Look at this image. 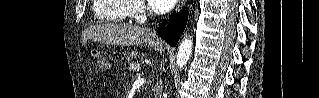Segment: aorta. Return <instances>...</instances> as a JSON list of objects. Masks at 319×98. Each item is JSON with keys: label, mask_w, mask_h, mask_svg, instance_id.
Wrapping results in <instances>:
<instances>
[{"label": "aorta", "mask_w": 319, "mask_h": 98, "mask_svg": "<svg viewBox=\"0 0 319 98\" xmlns=\"http://www.w3.org/2000/svg\"><path fill=\"white\" fill-rule=\"evenodd\" d=\"M192 46L193 42L191 38H185L180 43L176 55V63L180 70L183 69L184 66H186L188 60L190 59Z\"/></svg>", "instance_id": "obj_1"}]
</instances>
